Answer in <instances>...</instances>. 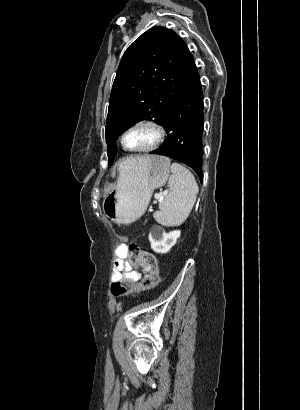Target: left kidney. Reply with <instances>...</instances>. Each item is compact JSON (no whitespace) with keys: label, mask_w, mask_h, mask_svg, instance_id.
Wrapping results in <instances>:
<instances>
[{"label":"left kidney","mask_w":300,"mask_h":410,"mask_svg":"<svg viewBox=\"0 0 300 410\" xmlns=\"http://www.w3.org/2000/svg\"><path fill=\"white\" fill-rule=\"evenodd\" d=\"M180 235L181 232L179 230L166 233L161 228H154L149 233L151 248L156 253H167L176 244Z\"/></svg>","instance_id":"left-kidney-1"}]
</instances>
